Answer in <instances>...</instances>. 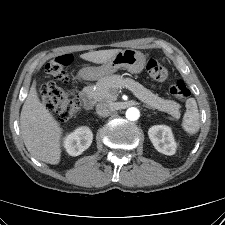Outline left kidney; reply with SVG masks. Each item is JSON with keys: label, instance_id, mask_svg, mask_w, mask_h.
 <instances>
[{"label": "left kidney", "instance_id": "1", "mask_svg": "<svg viewBox=\"0 0 225 225\" xmlns=\"http://www.w3.org/2000/svg\"><path fill=\"white\" fill-rule=\"evenodd\" d=\"M148 135L158 152L165 155H173L175 153L176 142L170 127L165 125L152 126L148 131Z\"/></svg>", "mask_w": 225, "mask_h": 225}]
</instances>
